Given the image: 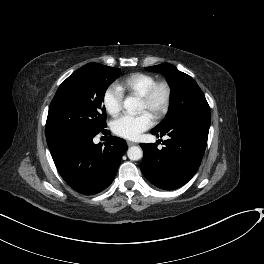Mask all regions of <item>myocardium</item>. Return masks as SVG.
I'll list each match as a JSON object with an SVG mask.
<instances>
[{
	"label": "myocardium",
	"instance_id": "myocardium-1",
	"mask_svg": "<svg viewBox=\"0 0 264 264\" xmlns=\"http://www.w3.org/2000/svg\"><path fill=\"white\" fill-rule=\"evenodd\" d=\"M160 92L163 98L159 105L156 100ZM172 87L166 80L156 81L149 90L141 96L142 101L148 106L152 117L156 120L162 119L168 112L172 101Z\"/></svg>",
	"mask_w": 264,
	"mask_h": 264
}]
</instances>
